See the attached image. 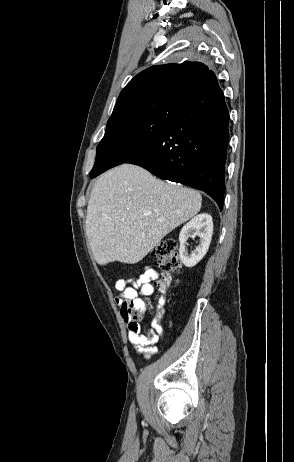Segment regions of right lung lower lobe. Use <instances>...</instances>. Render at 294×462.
<instances>
[{
    "instance_id": "obj_1",
    "label": "right lung lower lobe",
    "mask_w": 294,
    "mask_h": 462,
    "mask_svg": "<svg viewBox=\"0 0 294 462\" xmlns=\"http://www.w3.org/2000/svg\"><path fill=\"white\" fill-rule=\"evenodd\" d=\"M157 135L124 163L208 193L223 208L229 113L218 81L196 94ZM98 173H90L94 178Z\"/></svg>"
}]
</instances>
